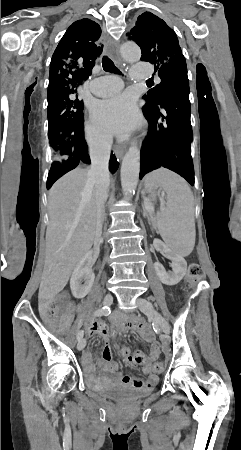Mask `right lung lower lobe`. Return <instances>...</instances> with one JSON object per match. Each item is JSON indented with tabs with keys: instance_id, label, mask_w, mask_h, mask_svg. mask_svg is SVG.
Wrapping results in <instances>:
<instances>
[{
	"instance_id": "98d812e1",
	"label": "right lung lower lobe",
	"mask_w": 241,
	"mask_h": 450,
	"mask_svg": "<svg viewBox=\"0 0 241 450\" xmlns=\"http://www.w3.org/2000/svg\"><path fill=\"white\" fill-rule=\"evenodd\" d=\"M83 123L66 126L62 129V134L68 139L73 148V155L67 159L53 161L48 178L47 188H51L53 183L68 171L74 169L79 163H90L88 147L84 139ZM119 163L114 154H111L109 170L115 173Z\"/></svg>"
}]
</instances>
